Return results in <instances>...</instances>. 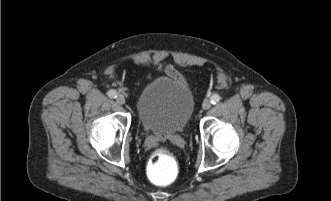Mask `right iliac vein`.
Segmentation results:
<instances>
[{
	"instance_id": "obj_1",
	"label": "right iliac vein",
	"mask_w": 331,
	"mask_h": 201,
	"mask_svg": "<svg viewBox=\"0 0 331 201\" xmlns=\"http://www.w3.org/2000/svg\"><path fill=\"white\" fill-rule=\"evenodd\" d=\"M116 102L120 105L125 104V97L122 94H118L116 97Z\"/></svg>"
}]
</instances>
